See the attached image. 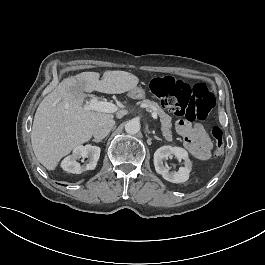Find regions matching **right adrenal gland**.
<instances>
[{
	"mask_svg": "<svg viewBox=\"0 0 265 265\" xmlns=\"http://www.w3.org/2000/svg\"><path fill=\"white\" fill-rule=\"evenodd\" d=\"M92 141H93V142H96V143H98V142H102L101 139H93Z\"/></svg>",
	"mask_w": 265,
	"mask_h": 265,
	"instance_id": "right-adrenal-gland-1",
	"label": "right adrenal gland"
}]
</instances>
